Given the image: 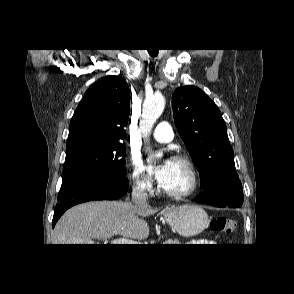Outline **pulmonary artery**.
<instances>
[{"label": "pulmonary artery", "instance_id": "1", "mask_svg": "<svg viewBox=\"0 0 294 294\" xmlns=\"http://www.w3.org/2000/svg\"><path fill=\"white\" fill-rule=\"evenodd\" d=\"M153 137L156 141L167 143L173 139V131L168 122H161L157 124L154 129Z\"/></svg>", "mask_w": 294, "mask_h": 294}]
</instances>
